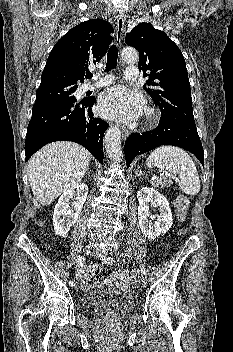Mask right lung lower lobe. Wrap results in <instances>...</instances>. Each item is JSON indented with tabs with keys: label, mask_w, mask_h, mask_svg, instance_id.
I'll return each mask as SVG.
<instances>
[{
	"label": "right lung lower lobe",
	"mask_w": 233,
	"mask_h": 352,
	"mask_svg": "<svg viewBox=\"0 0 233 352\" xmlns=\"http://www.w3.org/2000/svg\"><path fill=\"white\" fill-rule=\"evenodd\" d=\"M96 99L34 104L25 140L26 161L48 143L73 141L84 146L103 162V136L109 124L94 117Z\"/></svg>",
	"instance_id": "1"
}]
</instances>
